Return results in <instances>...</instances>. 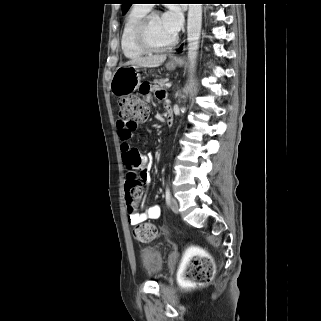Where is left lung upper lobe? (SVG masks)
<instances>
[{
    "instance_id": "obj_1",
    "label": "left lung upper lobe",
    "mask_w": 321,
    "mask_h": 321,
    "mask_svg": "<svg viewBox=\"0 0 321 321\" xmlns=\"http://www.w3.org/2000/svg\"><path fill=\"white\" fill-rule=\"evenodd\" d=\"M133 1L134 0H121L123 14H125L129 10L131 4H133Z\"/></svg>"
}]
</instances>
